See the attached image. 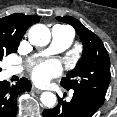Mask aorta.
<instances>
[{
    "label": "aorta",
    "instance_id": "1",
    "mask_svg": "<svg viewBox=\"0 0 117 117\" xmlns=\"http://www.w3.org/2000/svg\"><path fill=\"white\" fill-rule=\"evenodd\" d=\"M28 38L32 45L43 47L50 42L51 33L47 26L36 24L30 28ZM40 100L44 106L52 108L55 105L57 98L52 92H43Z\"/></svg>",
    "mask_w": 117,
    "mask_h": 117
}]
</instances>
